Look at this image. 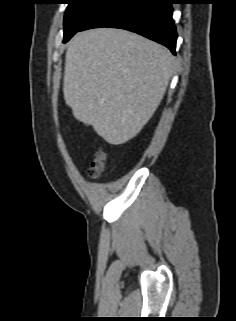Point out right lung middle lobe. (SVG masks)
Instances as JSON below:
<instances>
[{
    "label": "right lung middle lobe",
    "mask_w": 236,
    "mask_h": 321,
    "mask_svg": "<svg viewBox=\"0 0 236 321\" xmlns=\"http://www.w3.org/2000/svg\"><path fill=\"white\" fill-rule=\"evenodd\" d=\"M64 17V40L66 43L78 29L108 0H67Z\"/></svg>",
    "instance_id": "obj_1"
}]
</instances>
